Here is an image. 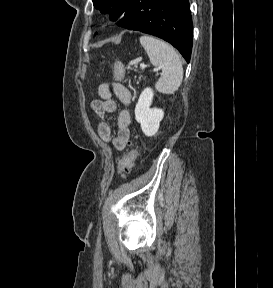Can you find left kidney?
Listing matches in <instances>:
<instances>
[{
    "label": "left kidney",
    "mask_w": 273,
    "mask_h": 288,
    "mask_svg": "<svg viewBox=\"0 0 273 288\" xmlns=\"http://www.w3.org/2000/svg\"><path fill=\"white\" fill-rule=\"evenodd\" d=\"M154 92L151 88H145L135 107V119L141 125L143 133L148 136H154L164 117V111L158 108H150Z\"/></svg>",
    "instance_id": "1"
}]
</instances>
